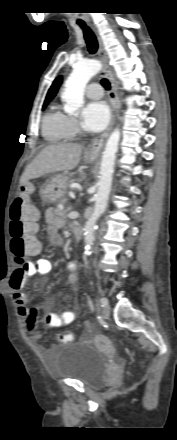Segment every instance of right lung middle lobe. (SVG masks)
I'll list each match as a JSON object with an SVG mask.
<instances>
[{
  "instance_id": "dd1d6c3e",
  "label": "right lung middle lobe",
  "mask_w": 177,
  "mask_h": 440,
  "mask_svg": "<svg viewBox=\"0 0 177 440\" xmlns=\"http://www.w3.org/2000/svg\"><path fill=\"white\" fill-rule=\"evenodd\" d=\"M46 105H47V102H45V103L43 104V109L46 108Z\"/></svg>"
}]
</instances>
